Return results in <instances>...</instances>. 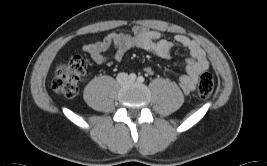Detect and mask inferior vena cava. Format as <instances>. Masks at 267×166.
Returning a JSON list of instances; mask_svg holds the SVG:
<instances>
[{"label": "inferior vena cava", "instance_id": "obj_1", "mask_svg": "<svg viewBox=\"0 0 267 166\" xmlns=\"http://www.w3.org/2000/svg\"><path fill=\"white\" fill-rule=\"evenodd\" d=\"M119 83L124 84L128 80V75L126 73H120L117 77Z\"/></svg>", "mask_w": 267, "mask_h": 166}]
</instances>
